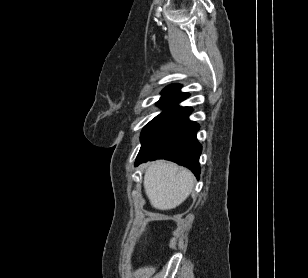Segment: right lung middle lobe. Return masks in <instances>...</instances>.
<instances>
[{
	"label": "right lung middle lobe",
	"instance_id": "1",
	"mask_svg": "<svg viewBox=\"0 0 308 278\" xmlns=\"http://www.w3.org/2000/svg\"><path fill=\"white\" fill-rule=\"evenodd\" d=\"M176 118L175 116H157L151 120L143 129L141 133V143L144 144L164 128H166Z\"/></svg>",
	"mask_w": 308,
	"mask_h": 278
}]
</instances>
